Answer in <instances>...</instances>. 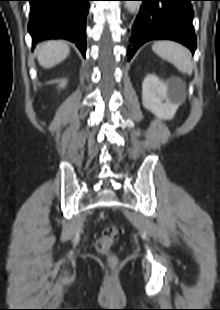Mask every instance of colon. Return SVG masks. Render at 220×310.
Wrapping results in <instances>:
<instances>
[{"label": "colon", "mask_w": 220, "mask_h": 310, "mask_svg": "<svg viewBox=\"0 0 220 310\" xmlns=\"http://www.w3.org/2000/svg\"><path fill=\"white\" fill-rule=\"evenodd\" d=\"M119 238V231L115 226H107L101 237L96 241V250L107 256L111 261H115L114 256L110 253V247L117 242Z\"/></svg>", "instance_id": "colon-1"}]
</instances>
